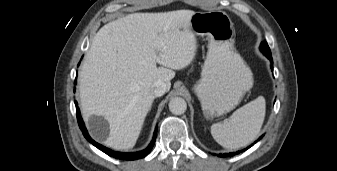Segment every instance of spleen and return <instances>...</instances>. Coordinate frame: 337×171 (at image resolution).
Instances as JSON below:
<instances>
[{
	"mask_svg": "<svg viewBox=\"0 0 337 171\" xmlns=\"http://www.w3.org/2000/svg\"><path fill=\"white\" fill-rule=\"evenodd\" d=\"M266 102L263 96L237 109L230 118L211 126L214 140L224 148L238 149L253 142L265 118Z\"/></svg>",
	"mask_w": 337,
	"mask_h": 171,
	"instance_id": "3e777b00",
	"label": "spleen"
}]
</instances>
